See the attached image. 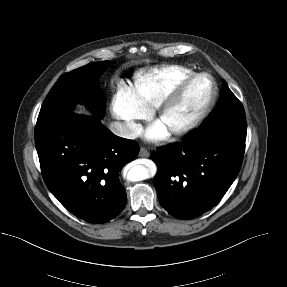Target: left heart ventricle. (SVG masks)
Returning a JSON list of instances; mask_svg holds the SVG:
<instances>
[{"instance_id": "left-heart-ventricle-1", "label": "left heart ventricle", "mask_w": 287, "mask_h": 287, "mask_svg": "<svg viewBox=\"0 0 287 287\" xmlns=\"http://www.w3.org/2000/svg\"><path fill=\"white\" fill-rule=\"evenodd\" d=\"M210 94V84L205 78L193 82L178 103L165 115L160 123L168 129L191 118L206 102Z\"/></svg>"}]
</instances>
